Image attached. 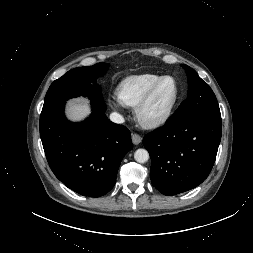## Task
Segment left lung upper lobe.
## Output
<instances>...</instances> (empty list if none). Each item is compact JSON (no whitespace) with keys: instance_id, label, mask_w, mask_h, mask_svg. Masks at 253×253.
Masks as SVG:
<instances>
[{"instance_id":"obj_1","label":"left lung upper lobe","mask_w":253,"mask_h":253,"mask_svg":"<svg viewBox=\"0 0 253 253\" xmlns=\"http://www.w3.org/2000/svg\"><path fill=\"white\" fill-rule=\"evenodd\" d=\"M185 68L188 77V94L168 122H175L184 118L198 115L219 116L220 109L214 92L197 74V72L187 65Z\"/></svg>"}]
</instances>
